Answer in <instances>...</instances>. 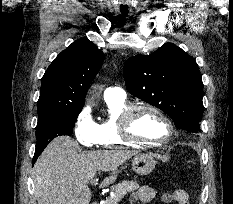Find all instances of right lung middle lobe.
Instances as JSON below:
<instances>
[{
	"instance_id": "dd1d6c3e",
	"label": "right lung middle lobe",
	"mask_w": 233,
	"mask_h": 204,
	"mask_svg": "<svg viewBox=\"0 0 233 204\" xmlns=\"http://www.w3.org/2000/svg\"><path fill=\"white\" fill-rule=\"evenodd\" d=\"M80 111L81 109H77L70 112L38 116L36 145H46L55 137L71 135Z\"/></svg>"
}]
</instances>
